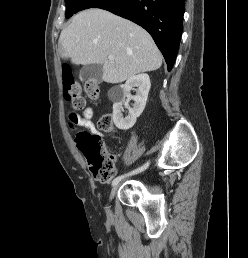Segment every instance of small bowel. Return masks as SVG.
<instances>
[{
  "label": "small bowel",
  "mask_w": 248,
  "mask_h": 258,
  "mask_svg": "<svg viewBox=\"0 0 248 258\" xmlns=\"http://www.w3.org/2000/svg\"><path fill=\"white\" fill-rule=\"evenodd\" d=\"M92 117H93V110L91 107L87 106L83 110L82 116L76 119V121L80 126L86 128L87 130L98 133L96 126L92 121Z\"/></svg>",
  "instance_id": "obj_1"
}]
</instances>
